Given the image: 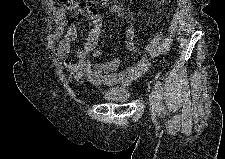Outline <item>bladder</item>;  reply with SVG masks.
Returning <instances> with one entry per match:
<instances>
[{
    "label": "bladder",
    "mask_w": 225,
    "mask_h": 159,
    "mask_svg": "<svg viewBox=\"0 0 225 159\" xmlns=\"http://www.w3.org/2000/svg\"><path fill=\"white\" fill-rule=\"evenodd\" d=\"M131 92L127 88L114 87L104 92L103 98L111 103H126L131 99Z\"/></svg>",
    "instance_id": "bladder-1"
}]
</instances>
